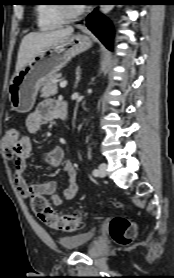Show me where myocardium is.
Listing matches in <instances>:
<instances>
[{"label":"myocardium","instance_id":"1","mask_svg":"<svg viewBox=\"0 0 174 278\" xmlns=\"http://www.w3.org/2000/svg\"><path fill=\"white\" fill-rule=\"evenodd\" d=\"M60 16L66 21L80 17L84 12V7L74 8L72 5L61 4L58 6Z\"/></svg>","mask_w":174,"mask_h":278}]
</instances>
